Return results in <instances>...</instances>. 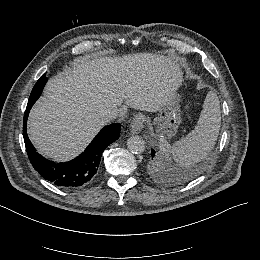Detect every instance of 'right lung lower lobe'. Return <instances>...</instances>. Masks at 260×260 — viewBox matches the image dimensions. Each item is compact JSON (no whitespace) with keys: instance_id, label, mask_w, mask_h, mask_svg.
<instances>
[{"instance_id":"98d812e1","label":"right lung lower lobe","mask_w":260,"mask_h":260,"mask_svg":"<svg viewBox=\"0 0 260 260\" xmlns=\"http://www.w3.org/2000/svg\"><path fill=\"white\" fill-rule=\"evenodd\" d=\"M45 74L35 84L24 115L23 137L26 151L34 169L46 180L63 189H75L88 184L95 178L103 151L119 138L120 124L113 123L104 127L90 145L74 160L65 163H55L36 152L30 142L26 123L29 111L47 82Z\"/></svg>"}]
</instances>
